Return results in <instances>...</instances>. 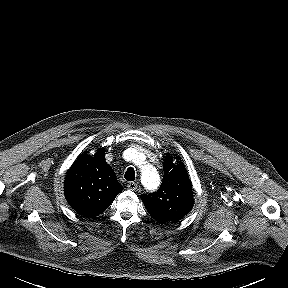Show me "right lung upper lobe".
<instances>
[{
  "label": "right lung upper lobe",
  "mask_w": 288,
  "mask_h": 288,
  "mask_svg": "<svg viewBox=\"0 0 288 288\" xmlns=\"http://www.w3.org/2000/svg\"><path fill=\"white\" fill-rule=\"evenodd\" d=\"M64 182L67 202L76 212L87 217L104 212L123 190L113 169L106 163L103 150L93 157L80 155Z\"/></svg>",
  "instance_id": "cb5924a9"
}]
</instances>
